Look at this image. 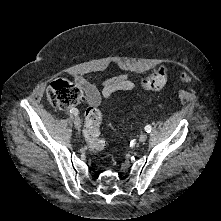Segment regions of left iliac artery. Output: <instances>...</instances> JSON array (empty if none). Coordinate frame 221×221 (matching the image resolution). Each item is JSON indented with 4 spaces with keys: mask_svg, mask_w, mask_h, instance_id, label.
<instances>
[{
    "mask_svg": "<svg viewBox=\"0 0 221 221\" xmlns=\"http://www.w3.org/2000/svg\"><path fill=\"white\" fill-rule=\"evenodd\" d=\"M151 130H152V127H151L150 125H146V126H145V131H146L147 133H150Z\"/></svg>",
    "mask_w": 221,
    "mask_h": 221,
    "instance_id": "left-iliac-artery-1",
    "label": "left iliac artery"
}]
</instances>
